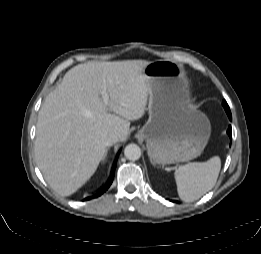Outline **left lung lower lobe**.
Wrapping results in <instances>:
<instances>
[{
  "label": "left lung lower lobe",
  "mask_w": 261,
  "mask_h": 254,
  "mask_svg": "<svg viewBox=\"0 0 261 254\" xmlns=\"http://www.w3.org/2000/svg\"><path fill=\"white\" fill-rule=\"evenodd\" d=\"M227 115H228L229 119L232 120V116H231V112L230 111L227 112ZM227 133H228L229 137L232 139V128H231V126H229V128L227 130ZM173 202H176V201H173Z\"/></svg>",
  "instance_id": "left-lung-lower-lobe-1"
}]
</instances>
